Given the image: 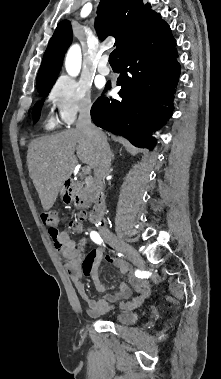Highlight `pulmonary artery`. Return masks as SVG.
Returning a JSON list of instances; mask_svg holds the SVG:
<instances>
[{"mask_svg": "<svg viewBox=\"0 0 221 379\" xmlns=\"http://www.w3.org/2000/svg\"><path fill=\"white\" fill-rule=\"evenodd\" d=\"M107 63H108V56L103 55L98 62V66H97L98 73H100L101 75H108L111 72V69L107 65Z\"/></svg>", "mask_w": 221, "mask_h": 379, "instance_id": "1", "label": "pulmonary artery"}]
</instances>
